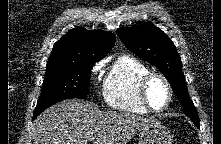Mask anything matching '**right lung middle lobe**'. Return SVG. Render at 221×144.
I'll use <instances>...</instances> for the list:
<instances>
[{
  "label": "right lung middle lobe",
  "instance_id": "dd1d6c3e",
  "mask_svg": "<svg viewBox=\"0 0 221 144\" xmlns=\"http://www.w3.org/2000/svg\"><path fill=\"white\" fill-rule=\"evenodd\" d=\"M94 64L95 62L47 63L34 116L62 100L87 97L89 78Z\"/></svg>",
  "mask_w": 221,
  "mask_h": 144
}]
</instances>
